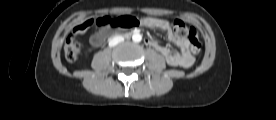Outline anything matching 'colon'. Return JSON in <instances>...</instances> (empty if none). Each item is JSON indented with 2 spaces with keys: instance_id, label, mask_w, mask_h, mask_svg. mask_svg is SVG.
Listing matches in <instances>:
<instances>
[{
  "instance_id": "1",
  "label": "colon",
  "mask_w": 276,
  "mask_h": 120,
  "mask_svg": "<svg viewBox=\"0 0 276 120\" xmlns=\"http://www.w3.org/2000/svg\"><path fill=\"white\" fill-rule=\"evenodd\" d=\"M142 21H149V18H143ZM93 24L99 27L131 28L138 24V20L133 16L101 17L96 20L88 19L77 25L74 28V32L83 33ZM173 31L177 38L186 39L189 42L192 54L198 55L200 53L202 44L194 28L187 26L181 20H175L173 22ZM64 54L68 61H75L78 58L80 44L74 36L67 38L64 45Z\"/></svg>"
}]
</instances>
